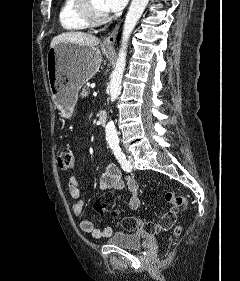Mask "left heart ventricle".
<instances>
[{"instance_id": "1", "label": "left heart ventricle", "mask_w": 240, "mask_h": 281, "mask_svg": "<svg viewBox=\"0 0 240 281\" xmlns=\"http://www.w3.org/2000/svg\"><path fill=\"white\" fill-rule=\"evenodd\" d=\"M94 3L97 8H99L100 10L106 11L105 6H104V0H94Z\"/></svg>"}]
</instances>
